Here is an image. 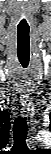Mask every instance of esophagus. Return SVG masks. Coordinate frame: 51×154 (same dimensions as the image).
Wrapping results in <instances>:
<instances>
[{"label": "esophagus", "instance_id": "esophagus-1", "mask_svg": "<svg viewBox=\"0 0 51 154\" xmlns=\"http://www.w3.org/2000/svg\"><path fill=\"white\" fill-rule=\"evenodd\" d=\"M30 111H31V109L29 107H24L23 108V114H25L26 116H28V114H30ZM29 142L30 143H33L34 142V139L30 138L29 139Z\"/></svg>", "mask_w": 51, "mask_h": 154}]
</instances>
